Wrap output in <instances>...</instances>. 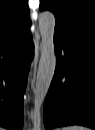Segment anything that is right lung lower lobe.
<instances>
[{
    "label": "right lung lower lobe",
    "instance_id": "right-lung-lower-lobe-1",
    "mask_svg": "<svg viewBox=\"0 0 95 130\" xmlns=\"http://www.w3.org/2000/svg\"><path fill=\"white\" fill-rule=\"evenodd\" d=\"M32 57L29 29L16 38L0 42V125L5 128H23V94Z\"/></svg>",
    "mask_w": 95,
    "mask_h": 130
}]
</instances>
